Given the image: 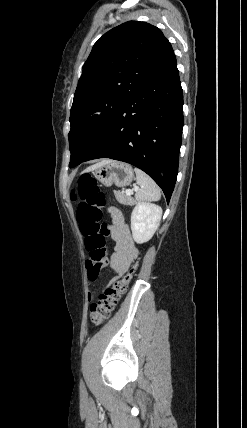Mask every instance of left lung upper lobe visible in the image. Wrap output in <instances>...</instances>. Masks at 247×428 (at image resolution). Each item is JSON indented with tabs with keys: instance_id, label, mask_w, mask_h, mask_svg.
Instances as JSON below:
<instances>
[{
	"instance_id": "1",
	"label": "left lung upper lobe",
	"mask_w": 247,
	"mask_h": 428,
	"mask_svg": "<svg viewBox=\"0 0 247 428\" xmlns=\"http://www.w3.org/2000/svg\"><path fill=\"white\" fill-rule=\"evenodd\" d=\"M174 54L161 30L129 21L104 34L83 66L68 134L74 167L90 154L122 103Z\"/></svg>"
}]
</instances>
